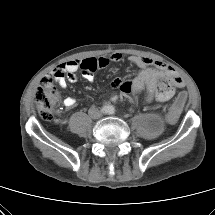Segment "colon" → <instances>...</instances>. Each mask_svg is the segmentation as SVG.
<instances>
[{
	"label": "colon",
	"mask_w": 215,
	"mask_h": 215,
	"mask_svg": "<svg viewBox=\"0 0 215 215\" xmlns=\"http://www.w3.org/2000/svg\"><path fill=\"white\" fill-rule=\"evenodd\" d=\"M52 83V78L46 79L43 86L37 90L35 95L38 112L40 116L47 121L53 119L54 110L58 103V94ZM165 88L169 90L171 88V84L167 83ZM184 102L185 95H180L176 99L167 116V121L169 123H173L178 118Z\"/></svg>",
	"instance_id": "1"
}]
</instances>
